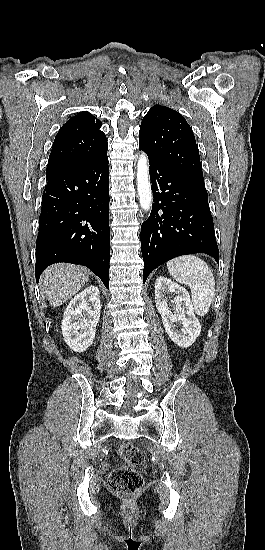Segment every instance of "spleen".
I'll return each instance as SVG.
<instances>
[{"mask_svg": "<svg viewBox=\"0 0 265 550\" xmlns=\"http://www.w3.org/2000/svg\"><path fill=\"white\" fill-rule=\"evenodd\" d=\"M167 268L173 279L190 287L194 309L204 316L215 295V279L209 266L194 255H185L169 261Z\"/></svg>", "mask_w": 265, "mask_h": 550, "instance_id": "1", "label": "spleen"}]
</instances>
